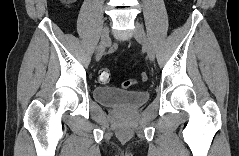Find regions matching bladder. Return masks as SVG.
<instances>
[{
  "label": "bladder",
  "instance_id": "obj_1",
  "mask_svg": "<svg viewBox=\"0 0 239 156\" xmlns=\"http://www.w3.org/2000/svg\"><path fill=\"white\" fill-rule=\"evenodd\" d=\"M94 98L106 106L137 108L149 100L150 93L148 90L124 91L115 87L101 86L94 89Z\"/></svg>",
  "mask_w": 239,
  "mask_h": 156
}]
</instances>
